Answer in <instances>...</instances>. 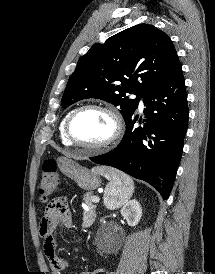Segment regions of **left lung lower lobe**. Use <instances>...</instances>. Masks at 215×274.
<instances>
[{
    "instance_id": "left-lung-lower-lobe-1",
    "label": "left lung lower lobe",
    "mask_w": 215,
    "mask_h": 274,
    "mask_svg": "<svg viewBox=\"0 0 215 274\" xmlns=\"http://www.w3.org/2000/svg\"><path fill=\"white\" fill-rule=\"evenodd\" d=\"M143 101L146 106L143 125L134 127L138 116L133 113L125 120L126 132L118 147L90 160L148 182L167 199L181 160L188 125L182 68L162 84L148 89Z\"/></svg>"
}]
</instances>
